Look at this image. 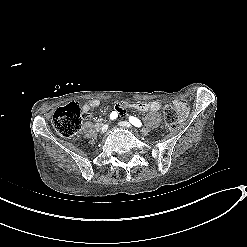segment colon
<instances>
[{"label": "colon", "instance_id": "1", "mask_svg": "<svg viewBox=\"0 0 247 247\" xmlns=\"http://www.w3.org/2000/svg\"><path fill=\"white\" fill-rule=\"evenodd\" d=\"M164 122L168 128L175 127L178 121V112L172 105L163 109ZM52 123L57 132L64 137L74 136L82 126L81 103L74 101L72 104L61 107L54 112Z\"/></svg>", "mask_w": 247, "mask_h": 247}]
</instances>
